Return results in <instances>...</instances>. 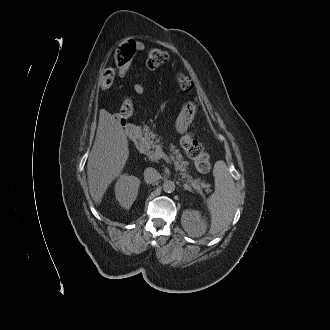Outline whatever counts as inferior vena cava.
Here are the masks:
<instances>
[{
    "instance_id": "1",
    "label": "inferior vena cava",
    "mask_w": 330,
    "mask_h": 330,
    "mask_svg": "<svg viewBox=\"0 0 330 330\" xmlns=\"http://www.w3.org/2000/svg\"><path fill=\"white\" fill-rule=\"evenodd\" d=\"M160 178L158 171L152 167L146 168L144 171V180L146 183L152 184Z\"/></svg>"
}]
</instances>
